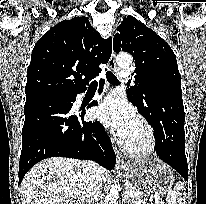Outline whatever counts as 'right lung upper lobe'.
<instances>
[{
    "mask_svg": "<svg viewBox=\"0 0 206 204\" xmlns=\"http://www.w3.org/2000/svg\"><path fill=\"white\" fill-rule=\"evenodd\" d=\"M112 39H103L85 17L64 20L35 44L27 70V98L75 94L108 62Z\"/></svg>",
    "mask_w": 206,
    "mask_h": 204,
    "instance_id": "obj_1",
    "label": "right lung upper lobe"
}]
</instances>
